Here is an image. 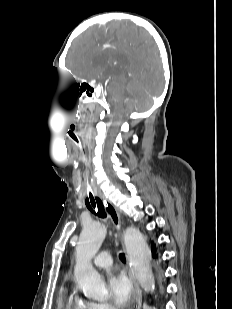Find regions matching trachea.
<instances>
[{"instance_id": "obj_1", "label": "trachea", "mask_w": 232, "mask_h": 309, "mask_svg": "<svg viewBox=\"0 0 232 309\" xmlns=\"http://www.w3.org/2000/svg\"><path fill=\"white\" fill-rule=\"evenodd\" d=\"M70 138L74 142V144L78 147V149L84 153V145L82 142L81 137L74 131L68 132ZM86 194L87 197L85 199V204L87 208L96 216L100 218H106V212L104 209V205L101 201V199L96 195V193L93 190L90 178L88 177V173L86 172ZM119 258L122 262L126 260L125 254L120 253Z\"/></svg>"}]
</instances>
